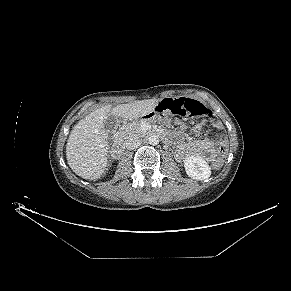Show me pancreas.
<instances>
[{
	"mask_svg": "<svg viewBox=\"0 0 291 291\" xmlns=\"http://www.w3.org/2000/svg\"><path fill=\"white\" fill-rule=\"evenodd\" d=\"M141 133H143V131L141 130V124L139 122L124 125L119 130L120 137L125 140L131 136L139 135Z\"/></svg>",
	"mask_w": 291,
	"mask_h": 291,
	"instance_id": "obj_1",
	"label": "pancreas"
}]
</instances>
